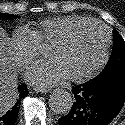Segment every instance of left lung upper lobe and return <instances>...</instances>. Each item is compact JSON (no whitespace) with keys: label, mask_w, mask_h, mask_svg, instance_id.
<instances>
[{"label":"left lung upper lobe","mask_w":125,"mask_h":125,"mask_svg":"<svg viewBox=\"0 0 125 125\" xmlns=\"http://www.w3.org/2000/svg\"><path fill=\"white\" fill-rule=\"evenodd\" d=\"M114 45L113 52L102 72L92 81L110 77L118 72L125 71V42L117 31H113Z\"/></svg>","instance_id":"1"}]
</instances>
